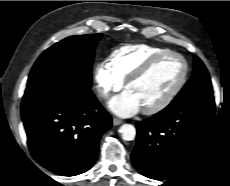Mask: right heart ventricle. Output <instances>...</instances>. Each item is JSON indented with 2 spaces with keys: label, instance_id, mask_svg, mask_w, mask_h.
<instances>
[{
  "label": "right heart ventricle",
  "instance_id": "right-heart-ventricle-1",
  "mask_svg": "<svg viewBox=\"0 0 230 186\" xmlns=\"http://www.w3.org/2000/svg\"><path fill=\"white\" fill-rule=\"evenodd\" d=\"M168 49L149 44H127L113 50L109 64L124 82L152 56Z\"/></svg>",
  "mask_w": 230,
  "mask_h": 186
}]
</instances>
